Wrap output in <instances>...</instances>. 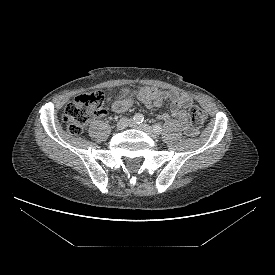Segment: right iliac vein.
Instances as JSON below:
<instances>
[{"mask_svg": "<svg viewBox=\"0 0 275 275\" xmlns=\"http://www.w3.org/2000/svg\"><path fill=\"white\" fill-rule=\"evenodd\" d=\"M132 121L128 118H122L119 120V122L117 123V130H123L125 129L128 125H130Z\"/></svg>", "mask_w": 275, "mask_h": 275, "instance_id": "1", "label": "right iliac vein"}]
</instances>
